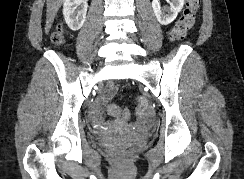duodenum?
<instances>
[{
	"label": "duodenum",
	"mask_w": 244,
	"mask_h": 179,
	"mask_svg": "<svg viewBox=\"0 0 244 179\" xmlns=\"http://www.w3.org/2000/svg\"><path fill=\"white\" fill-rule=\"evenodd\" d=\"M114 88H115V87H114V86H112V88H111V89L113 90Z\"/></svg>",
	"instance_id": "obj_1"
}]
</instances>
